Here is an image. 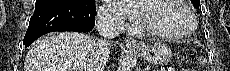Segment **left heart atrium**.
I'll list each match as a JSON object with an SVG mask.
<instances>
[{
	"label": "left heart atrium",
	"mask_w": 230,
	"mask_h": 71,
	"mask_svg": "<svg viewBox=\"0 0 230 71\" xmlns=\"http://www.w3.org/2000/svg\"><path fill=\"white\" fill-rule=\"evenodd\" d=\"M110 3L118 6L131 17H140L141 14L144 16V10L140 7L139 3H133V1L128 0H113Z\"/></svg>",
	"instance_id": "1"
}]
</instances>
